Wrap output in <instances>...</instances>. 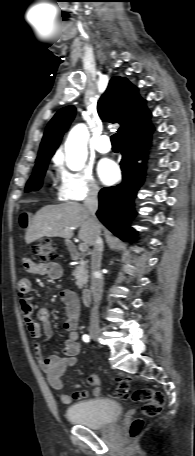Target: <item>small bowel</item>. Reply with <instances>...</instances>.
Here are the masks:
<instances>
[{"label": "small bowel", "mask_w": 195, "mask_h": 456, "mask_svg": "<svg viewBox=\"0 0 195 456\" xmlns=\"http://www.w3.org/2000/svg\"><path fill=\"white\" fill-rule=\"evenodd\" d=\"M28 215L23 213L20 216V225L26 228ZM23 268L26 272L36 275L47 276L51 279H59L62 276V267L56 262H34L28 257L22 259ZM32 284L29 278L23 277L17 282V294L24 322L30 336L34 339H49L52 335V327L49 321V311L41 307L34 311L33 302L29 293ZM61 299L64 305V330L68 333L62 348V355L45 356L39 343L35 344V357L47 376L50 386L61 391L63 389L62 376L68 367L74 366L77 362V355L80 351L78 341V325L80 319V302L77 295L71 290H63ZM88 384L93 387L92 395H100V379L96 375L88 377ZM88 397L85 390H76L71 396L66 393L60 394V401L63 404H70L73 400H81Z\"/></svg>", "instance_id": "obj_1"}]
</instances>
